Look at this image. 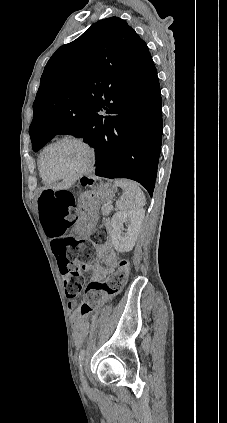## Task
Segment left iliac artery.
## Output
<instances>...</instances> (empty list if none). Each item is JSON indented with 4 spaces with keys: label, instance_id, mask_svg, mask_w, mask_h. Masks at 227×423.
Returning a JSON list of instances; mask_svg holds the SVG:
<instances>
[{
    "label": "left iliac artery",
    "instance_id": "obj_1",
    "mask_svg": "<svg viewBox=\"0 0 227 423\" xmlns=\"http://www.w3.org/2000/svg\"><path fill=\"white\" fill-rule=\"evenodd\" d=\"M85 355H86V350L82 349L79 353V358H78L80 370L82 369V363H83V359H84Z\"/></svg>",
    "mask_w": 227,
    "mask_h": 423
}]
</instances>
